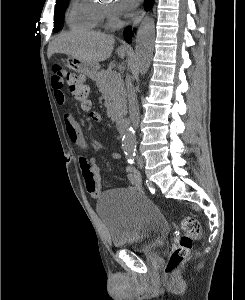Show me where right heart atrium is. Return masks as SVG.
I'll return each instance as SVG.
<instances>
[{"mask_svg": "<svg viewBox=\"0 0 245 300\" xmlns=\"http://www.w3.org/2000/svg\"><path fill=\"white\" fill-rule=\"evenodd\" d=\"M102 19L107 20L112 25L116 19L115 11L112 7H101Z\"/></svg>", "mask_w": 245, "mask_h": 300, "instance_id": "1", "label": "right heart atrium"}]
</instances>
